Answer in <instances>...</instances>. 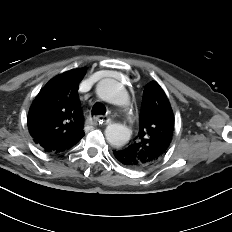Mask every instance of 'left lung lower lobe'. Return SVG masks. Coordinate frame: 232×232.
I'll list each match as a JSON object with an SVG mask.
<instances>
[{
    "instance_id": "0a47b994",
    "label": "left lung lower lobe",
    "mask_w": 232,
    "mask_h": 232,
    "mask_svg": "<svg viewBox=\"0 0 232 232\" xmlns=\"http://www.w3.org/2000/svg\"><path fill=\"white\" fill-rule=\"evenodd\" d=\"M114 158L123 166L130 169H137V162L124 149H118L113 152Z\"/></svg>"
}]
</instances>
